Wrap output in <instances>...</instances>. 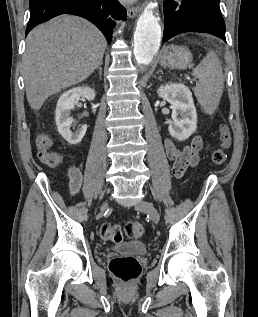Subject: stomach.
<instances>
[{
	"instance_id": "1",
	"label": "stomach",
	"mask_w": 258,
	"mask_h": 317,
	"mask_svg": "<svg viewBox=\"0 0 258 317\" xmlns=\"http://www.w3.org/2000/svg\"><path fill=\"white\" fill-rule=\"evenodd\" d=\"M160 64L162 66H170V68H187L191 66L192 52L188 46H176L170 44L165 46L159 54Z\"/></svg>"
}]
</instances>
